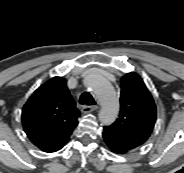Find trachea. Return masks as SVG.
Returning a JSON list of instances; mask_svg holds the SVG:
<instances>
[{"instance_id": "1", "label": "trachea", "mask_w": 184, "mask_h": 173, "mask_svg": "<svg viewBox=\"0 0 184 173\" xmlns=\"http://www.w3.org/2000/svg\"><path fill=\"white\" fill-rule=\"evenodd\" d=\"M79 103L82 105L90 106V105H95L96 102L93 99L92 95L88 92H84L80 98H79Z\"/></svg>"}]
</instances>
